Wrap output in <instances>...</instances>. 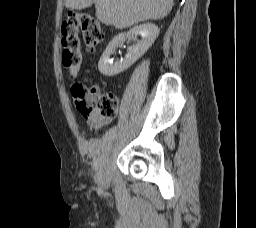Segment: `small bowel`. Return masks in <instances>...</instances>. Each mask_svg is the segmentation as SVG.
<instances>
[{"instance_id":"1","label":"small bowel","mask_w":256,"mask_h":228,"mask_svg":"<svg viewBox=\"0 0 256 228\" xmlns=\"http://www.w3.org/2000/svg\"><path fill=\"white\" fill-rule=\"evenodd\" d=\"M96 91H98V88H95ZM109 122V119H103V118H97L91 121V125L95 128H99L104 126L105 124H107Z\"/></svg>"}]
</instances>
